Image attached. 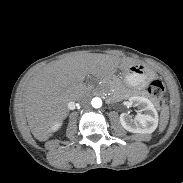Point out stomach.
Masks as SVG:
<instances>
[{
    "instance_id": "stomach-1",
    "label": "stomach",
    "mask_w": 183,
    "mask_h": 183,
    "mask_svg": "<svg viewBox=\"0 0 183 183\" xmlns=\"http://www.w3.org/2000/svg\"><path fill=\"white\" fill-rule=\"evenodd\" d=\"M153 72L142 64H134L126 68L124 82L131 88L142 89L147 86Z\"/></svg>"
}]
</instances>
